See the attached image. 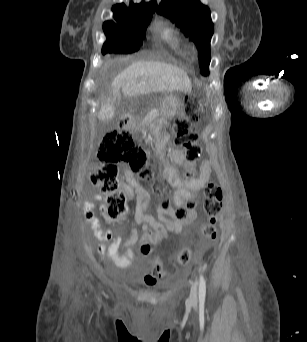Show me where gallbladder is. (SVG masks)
I'll use <instances>...</instances> for the list:
<instances>
[{
	"instance_id": "gallbladder-1",
	"label": "gallbladder",
	"mask_w": 307,
	"mask_h": 342,
	"mask_svg": "<svg viewBox=\"0 0 307 342\" xmlns=\"http://www.w3.org/2000/svg\"><path fill=\"white\" fill-rule=\"evenodd\" d=\"M112 102H118L120 100V97L118 95H112L110 98H109ZM116 106L113 104V105H106L105 103H102L100 105V108L104 111H100L99 113V116L100 118H110L111 116V108H115Z\"/></svg>"
}]
</instances>
